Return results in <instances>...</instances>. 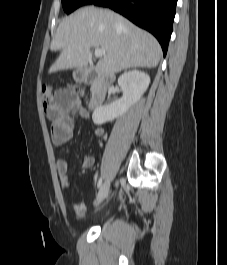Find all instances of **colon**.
<instances>
[{"instance_id":"colon-1","label":"colon","mask_w":227,"mask_h":265,"mask_svg":"<svg viewBox=\"0 0 227 265\" xmlns=\"http://www.w3.org/2000/svg\"><path fill=\"white\" fill-rule=\"evenodd\" d=\"M42 97L44 102H50L51 99H54V89L51 85L42 86Z\"/></svg>"}]
</instances>
